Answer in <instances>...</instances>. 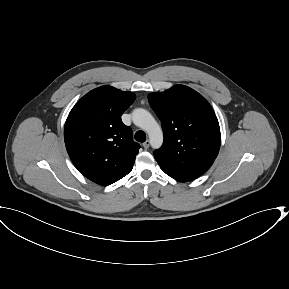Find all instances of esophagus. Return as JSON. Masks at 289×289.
Segmentation results:
<instances>
[{
    "label": "esophagus",
    "instance_id": "obj_1",
    "mask_svg": "<svg viewBox=\"0 0 289 289\" xmlns=\"http://www.w3.org/2000/svg\"><path fill=\"white\" fill-rule=\"evenodd\" d=\"M142 145H143V147H144L145 149H148L149 146H150V141H149V140H146Z\"/></svg>",
    "mask_w": 289,
    "mask_h": 289
}]
</instances>
